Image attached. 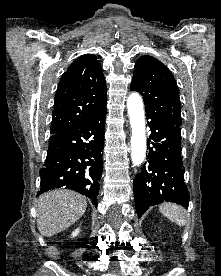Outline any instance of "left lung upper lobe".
I'll list each match as a JSON object with an SVG mask.
<instances>
[{"mask_svg":"<svg viewBox=\"0 0 221 276\" xmlns=\"http://www.w3.org/2000/svg\"><path fill=\"white\" fill-rule=\"evenodd\" d=\"M131 90L143 96L147 117L172 126H181L179 90L170 70L157 59L140 57L135 64Z\"/></svg>","mask_w":221,"mask_h":276,"instance_id":"obj_1","label":"left lung upper lobe"}]
</instances>
